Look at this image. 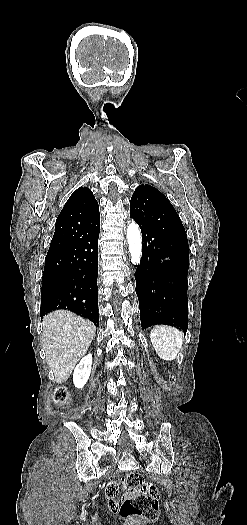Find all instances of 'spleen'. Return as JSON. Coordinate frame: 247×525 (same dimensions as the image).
Returning a JSON list of instances; mask_svg holds the SVG:
<instances>
[{
  "label": "spleen",
  "mask_w": 247,
  "mask_h": 525,
  "mask_svg": "<svg viewBox=\"0 0 247 525\" xmlns=\"http://www.w3.org/2000/svg\"><path fill=\"white\" fill-rule=\"evenodd\" d=\"M150 341L160 359L174 361L182 349L183 333L175 327L157 325L150 333Z\"/></svg>",
  "instance_id": "spleen-1"
}]
</instances>
